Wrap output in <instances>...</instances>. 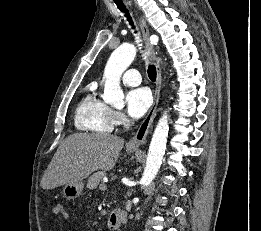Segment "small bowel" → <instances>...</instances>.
<instances>
[{
	"instance_id": "1",
	"label": "small bowel",
	"mask_w": 261,
	"mask_h": 231,
	"mask_svg": "<svg viewBox=\"0 0 261 231\" xmlns=\"http://www.w3.org/2000/svg\"><path fill=\"white\" fill-rule=\"evenodd\" d=\"M67 213L64 210L62 205H54L51 209V217L57 218V217H66Z\"/></svg>"
}]
</instances>
